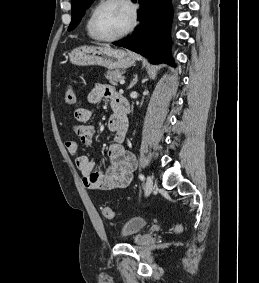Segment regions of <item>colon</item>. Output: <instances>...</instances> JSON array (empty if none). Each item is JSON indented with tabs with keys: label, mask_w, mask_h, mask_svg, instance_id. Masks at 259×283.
I'll return each instance as SVG.
<instances>
[{
	"label": "colon",
	"mask_w": 259,
	"mask_h": 283,
	"mask_svg": "<svg viewBox=\"0 0 259 283\" xmlns=\"http://www.w3.org/2000/svg\"><path fill=\"white\" fill-rule=\"evenodd\" d=\"M65 102L69 106H73L76 102V92L72 86H68L65 90ZM102 214L107 219H112L114 217L112 209L108 206L102 208ZM179 229L180 227L177 226V230Z\"/></svg>",
	"instance_id": "5ec220e1"
}]
</instances>
